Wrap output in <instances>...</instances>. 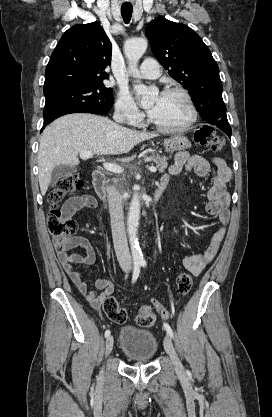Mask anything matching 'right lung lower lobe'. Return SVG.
I'll use <instances>...</instances> for the list:
<instances>
[{
  "instance_id": "obj_1",
  "label": "right lung lower lobe",
  "mask_w": 272,
  "mask_h": 417,
  "mask_svg": "<svg viewBox=\"0 0 272 417\" xmlns=\"http://www.w3.org/2000/svg\"><path fill=\"white\" fill-rule=\"evenodd\" d=\"M93 113V114H104V113H101V112H99V111H97V110H94V109H90V108H76V109H70V110H67V111H64V112H62V113H60V114H57V115H55L53 118H51L50 120H48V121H46L45 122V124H44V126H43V128H42V130L46 127V125H48L49 123H51L53 120H55L56 118H58V117H60V116H63V115H65V114H69V113ZM41 130V131H42Z\"/></svg>"
}]
</instances>
